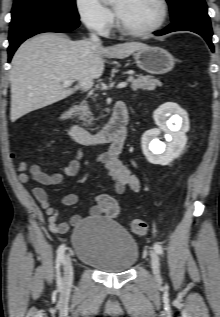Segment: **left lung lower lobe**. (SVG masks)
<instances>
[{"instance_id":"left-lung-lower-lobe-1","label":"left lung lower lobe","mask_w":220,"mask_h":317,"mask_svg":"<svg viewBox=\"0 0 220 317\" xmlns=\"http://www.w3.org/2000/svg\"><path fill=\"white\" fill-rule=\"evenodd\" d=\"M192 31L201 35L214 51V46L211 41L212 29L210 18L207 14V6H191L187 8L182 15L177 19L172 20V23L162 31L154 32L155 35H164L173 31Z\"/></svg>"}]
</instances>
